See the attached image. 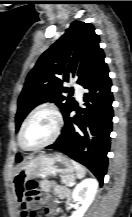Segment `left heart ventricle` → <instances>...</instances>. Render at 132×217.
I'll return each mask as SVG.
<instances>
[{"instance_id": "left-heart-ventricle-1", "label": "left heart ventricle", "mask_w": 132, "mask_h": 217, "mask_svg": "<svg viewBox=\"0 0 132 217\" xmlns=\"http://www.w3.org/2000/svg\"><path fill=\"white\" fill-rule=\"evenodd\" d=\"M55 127V116L48 110H41L26 125L23 143L27 147H36L52 137Z\"/></svg>"}]
</instances>
